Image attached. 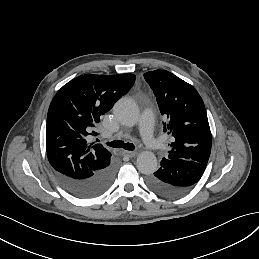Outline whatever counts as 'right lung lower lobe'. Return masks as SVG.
Segmentation results:
<instances>
[{
	"label": "right lung lower lobe",
	"instance_id": "98d812e1",
	"mask_svg": "<svg viewBox=\"0 0 259 259\" xmlns=\"http://www.w3.org/2000/svg\"><path fill=\"white\" fill-rule=\"evenodd\" d=\"M58 182L72 195L78 198H95L105 193L111 186L115 167H108L86 179H75L54 171Z\"/></svg>",
	"mask_w": 259,
	"mask_h": 259
}]
</instances>
